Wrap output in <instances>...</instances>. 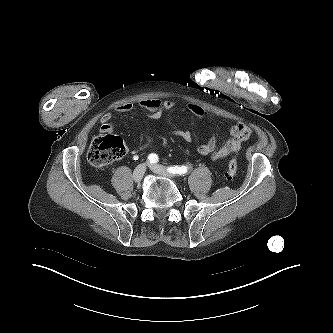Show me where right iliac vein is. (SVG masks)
Masks as SVG:
<instances>
[{"label":"right iliac vein","instance_id":"obj_1","mask_svg":"<svg viewBox=\"0 0 333 333\" xmlns=\"http://www.w3.org/2000/svg\"><path fill=\"white\" fill-rule=\"evenodd\" d=\"M146 171V165L145 164H140L136 167V169L133 172V180L136 183L141 182V180L143 179V176L145 174Z\"/></svg>","mask_w":333,"mask_h":333}]
</instances>
